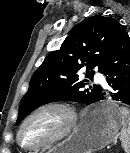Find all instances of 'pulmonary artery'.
Masks as SVG:
<instances>
[{"label": "pulmonary artery", "mask_w": 130, "mask_h": 153, "mask_svg": "<svg viewBox=\"0 0 130 153\" xmlns=\"http://www.w3.org/2000/svg\"><path fill=\"white\" fill-rule=\"evenodd\" d=\"M94 80H95L97 83H100V84L103 85V86L106 85L105 79H104V77H103L100 73H95V75H94Z\"/></svg>", "instance_id": "obj_1"}]
</instances>
